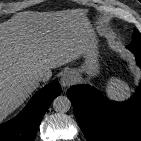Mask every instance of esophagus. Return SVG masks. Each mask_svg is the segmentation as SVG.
<instances>
[{"label": "esophagus", "instance_id": "1", "mask_svg": "<svg viewBox=\"0 0 141 141\" xmlns=\"http://www.w3.org/2000/svg\"><path fill=\"white\" fill-rule=\"evenodd\" d=\"M73 81H74V75L71 71H67L63 73L60 79L61 86L64 88L70 86L73 83Z\"/></svg>", "mask_w": 141, "mask_h": 141}]
</instances>
